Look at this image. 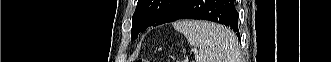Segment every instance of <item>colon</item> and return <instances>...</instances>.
<instances>
[{"label": "colon", "instance_id": "5ec220e1", "mask_svg": "<svg viewBox=\"0 0 331 62\" xmlns=\"http://www.w3.org/2000/svg\"><path fill=\"white\" fill-rule=\"evenodd\" d=\"M137 62H148V61L145 60V59H140V60H138Z\"/></svg>", "mask_w": 331, "mask_h": 62}]
</instances>
